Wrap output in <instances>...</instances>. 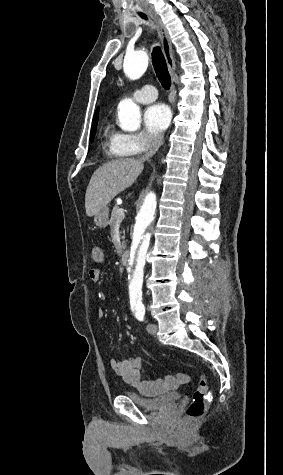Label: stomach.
<instances>
[{
	"label": "stomach",
	"instance_id": "stomach-1",
	"mask_svg": "<svg viewBox=\"0 0 283 475\" xmlns=\"http://www.w3.org/2000/svg\"><path fill=\"white\" fill-rule=\"evenodd\" d=\"M109 220V208H102L96 216H94V222L99 228H106Z\"/></svg>",
	"mask_w": 283,
	"mask_h": 475
}]
</instances>
